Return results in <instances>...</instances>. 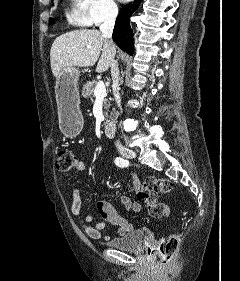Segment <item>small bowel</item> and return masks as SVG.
<instances>
[{
  "instance_id": "small-bowel-1",
  "label": "small bowel",
  "mask_w": 240,
  "mask_h": 281,
  "mask_svg": "<svg viewBox=\"0 0 240 281\" xmlns=\"http://www.w3.org/2000/svg\"><path fill=\"white\" fill-rule=\"evenodd\" d=\"M77 171L82 172L86 169V161L81 159L78 161L75 168ZM132 183L135 190L140 186V180L136 173L132 172ZM121 204L127 211L138 212L141 210L139 203L132 201L127 196H122L120 199ZM99 221L95 224H91L94 220L93 216H86L82 222V229L85 234L92 239H100L102 237V229L106 223H110L117 227V234L124 236L130 232L133 228L132 224L122 217L115 207L106 200H99L96 204ZM71 214L74 217L81 216L82 212V199L80 190L77 188L72 189V203H71Z\"/></svg>"
}]
</instances>
